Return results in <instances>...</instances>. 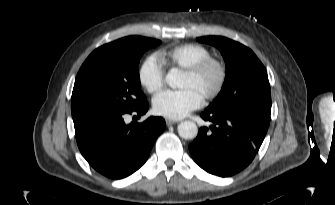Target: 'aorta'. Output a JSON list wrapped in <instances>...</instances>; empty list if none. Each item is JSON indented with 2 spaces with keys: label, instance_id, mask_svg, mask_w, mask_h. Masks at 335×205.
I'll list each match as a JSON object with an SVG mask.
<instances>
[{
  "label": "aorta",
  "instance_id": "762f6f07",
  "mask_svg": "<svg viewBox=\"0 0 335 205\" xmlns=\"http://www.w3.org/2000/svg\"><path fill=\"white\" fill-rule=\"evenodd\" d=\"M166 82L171 88L180 87V74L177 69L169 70L166 75ZM178 134L184 139H194L198 134L197 125L192 121H183L178 125Z\"/></svg>",
  "mask_w": 335,
  "mask_h": 205
}]
</instances>
